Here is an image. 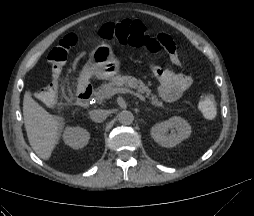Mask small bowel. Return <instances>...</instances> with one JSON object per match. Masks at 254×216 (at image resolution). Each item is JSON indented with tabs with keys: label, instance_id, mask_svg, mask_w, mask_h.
I'll return each mask as SVG.
<instances>
[{
	"label": "small bowel",
	"instance_id": "1",
	"mask_svg": "<svg viewBox=\"0 0 254 216\" xmlns=\"http://www.w3.org/2000/svg\"><path fill=\"white\" fill-rule=\"evenodd\" d=\"M155 41L167 51L171 68L176 71L153 69L157 78V92L165 101H175L191 86L192 78L184 72V65L180 63V56L176 52L175 41L164 32L155 34Z\"/></svg>",
	"mask_w": 254,
	"mask_h": 216
}]
</instances>
